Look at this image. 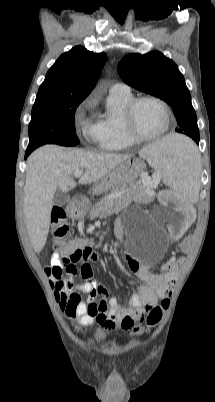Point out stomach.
<instances>
[{
	"instance_id": "1",
	"label": "stomach",
	"mask_w": 215,
	"mask_h": 402,
	"mask_svg": "<svg viewBox=\"0 0 215 402\" xmlns=\"http://www.w3.org/2000/svg\"><path fill=\"white\" fill-rule=\"evenodd\" d=\"M145 170V164L142 160L128 158L112 169L106 176L99 180L94 188L95 194L106 193L113 189L128 186L132 184ZM87 206H79V210L86 212Z\"/></svg>"
}]
</instances>
